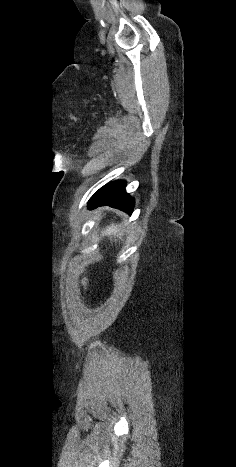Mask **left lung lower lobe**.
<instances>
[{
	"label": "left lung lower lobe",
	"instance_id": "1",
	"mask_svg": "<svg viewBox=\"0 0 236 467\" xmlns=\"http://www.w3.org/2000/svg\"><path fill=\"white\" fill-rule=\"evenodd\" d=\"M108 205L131 214L134 207V199L125 191V182L116 181L100 188L89 200L90 209Z\"/></svg>",
	"mask_w": 236,
	"mask_h": 467
}]
</instances>
